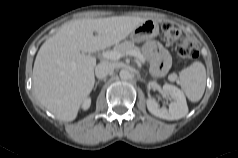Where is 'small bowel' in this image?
<instances>
[{
  "label": "small bowel",
  "instance_id": "obj_1",
  "mask_svg": "<svg viewBox=\"0 0 238 158\" xmlns=\"http://www.w3.org/2000/svg\"><path fill=\"white\" fill-rule=\"evenodd\" d=\"M149 58L152 73L157 76L166 74L171 65L169 53L156 41H149L144 47Z\"/></svg>",
  "mask_w": 238,
  "mask_h": 158
}]
</instances>
